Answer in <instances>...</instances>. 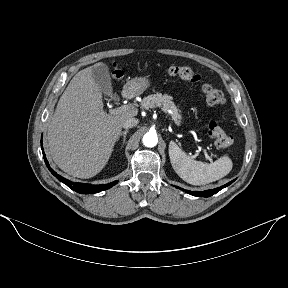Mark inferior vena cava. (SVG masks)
<instances>
[{
    "instance_id": "inferior-vena-cava-1",
    "label": "inferior vena cava",
    "mask_w": 288,
    "mask_h": 288,
    "mask_svg": "<svg viewBox=\"0 0 288 288\" xmlns=\"http://www.w3.org/2000/svg\"><path fill=\"white\" fill-rule=\"evenodd\" d=\"M139 123V120L134 117L127 118L123 123V128L128 129L136 126Z\"/></svg>"
}]
</instances>
